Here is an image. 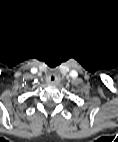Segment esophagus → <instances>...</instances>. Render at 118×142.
Instances as JSON below:
<instances>
[{"mask_svg":"<svg viewBox=\"0 0 118 142\" xmlns=\"http://www.w3.org/2000/svg\"><path fill=\"white\" fill-rule=\"evenodd\" d=\"M58 80V77L53 75V74H50L48 77H47V83L49 84H55Z\"/></svg>","mask_w":118,"mask_h":142,"instance_id":"obj_1","label":"esophagus"}]
</instances>
